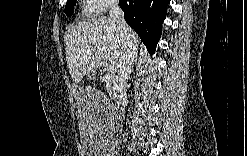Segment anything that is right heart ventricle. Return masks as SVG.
I'll return each mask as SVG.
<instances>
[{
	"mask_svg": "<svg viewBox=\"0 0 247 156\" xmlns=\"http://www.w3.org/2000/svg\"><path fill=\"white\" fill-rule=\"evenodd\" d=\"M84 12L85 13H87V14H90V13H92V12H95V7L93 6H86L85 8H84Z\"/></svg>",
	"mask_w": 247,
	"mask_h": 156,
	"instance_id": "1",
	"label": "right heart ventricle"
}]
</instances>
